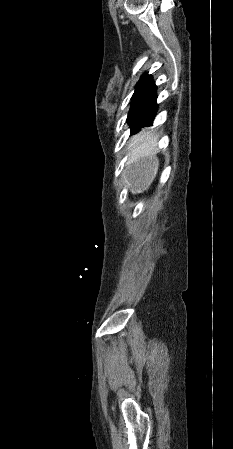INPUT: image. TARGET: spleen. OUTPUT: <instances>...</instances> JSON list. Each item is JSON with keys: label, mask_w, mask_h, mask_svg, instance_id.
Here are the masks:
<instances>
[{"label": "spleen", "mask_w": 233, "mask_h": 449, "mask_svg": "<svg viewBox=\"0 0 233 449\" xmlns=\"http://www.w3.org/2000/svg\"><path fill=\"white\" fill-rule=\"evenodd\" d=\"M153 139H154V140H157V139H158V136H157V135H154V136H153ZM148 141H149V140H148Z\"/></svg>", "instance_id": "3e777b00"}]
</instances>
